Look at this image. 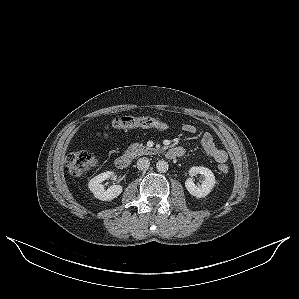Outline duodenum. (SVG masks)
<instances>
[{"label": "duodenum", "mask_w": 299, "mask_h": 299, "mask_svg": "<svg viewBox=\"0 0 299 299\" xmlns=\"http://www.w3.org/2000/svg\"><path fill=\"white\" fill-rule=\"evenodd\" d=\"M184 154L182 147H171L167 149L166 156L170 159L180 157ZM131 164V157L129 154L119 155L115 160V165L118 169H127Z\"/></svg>", "instance_id": "410a0bca"}]
</instances>
